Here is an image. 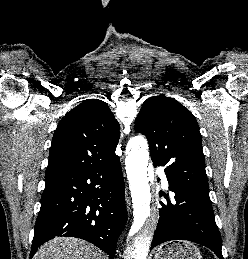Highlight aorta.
<instances>
[{
    "instance_id": "obj_1",
    "label": "aorta",
    "mask_w": 248,
    "mask_h": 259,
    "mask_svg": "<svg viewBox=\"0 0 248 259\" xmlns=\"http://www.w3.org/2000/svg\"><path fill=\"white\" fill-rule=\"evenodd\" d=\"M149 153L143 137L132 138L127 146L126 173L132 197L133 226L138 232L127 247L126 259H146L152 229L147 224L151 211V192L148 177Z\"/></svg>"
}]
</instances>
